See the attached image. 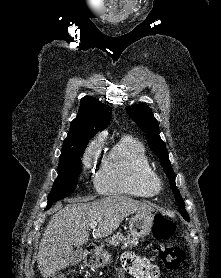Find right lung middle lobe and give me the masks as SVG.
Instances as JSON below:
<instances>
[{
  "mask_svg": "<svg viewBox=\"0 0 221 278\" xmlns=\"http://www.w3.org/2000/svg\"><path fill=\"white\" fill-rule=\"evenodd\" d=\"M86 144L79 145L67 151H62L59 157L58 177L48 196L47 209L64 197L70 195L76 188L81 173V159Z\"/></svg>",
  "mask_w": 221,
  "mask_h": 278,
  "instance_id": "dd1d6c3e",
  "label": "right lung middle lobe"
}]
</instances>
